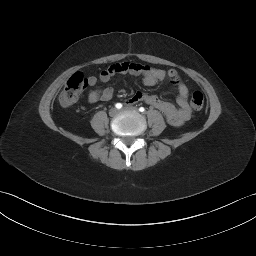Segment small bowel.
I'll return each instance as SVG.
<instances>
[{
    "instance_id": "obj_1",
    "label": "small bowel",
    "mask_w": 256,
    "mask_h": 256,
    "mask_svg": "<svg viewBox=\"0 0 256 256\" xmlns=\"http://www.w3.org/2000/svg\"><path fill=\"white\" fill-rule=\"evenodd\" d=\"M120 73H129L133 76H141L142 82L145 86H154L168 78L178 90L176 97L177 106L169 101L158 98L154 94L144 92H136L126 99L127 105L144 102L162 112L167 121L173 125H181L189 119L191 113L188 105L189 90L177 70L169 69L168 71H165L163 69L154 68L138 62H122L113 64L102 70L98 78L95 76L88 77V84L93 87L97 84L98 79L101 82L106 83L114 75ZM113 94L114 90L111 87L92 89L88 93L87 100L91 104H95L99 101H109L112 99Z\"/></svg>"
}]
</instances>
